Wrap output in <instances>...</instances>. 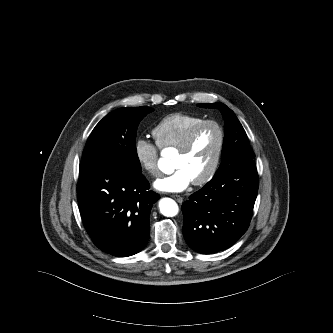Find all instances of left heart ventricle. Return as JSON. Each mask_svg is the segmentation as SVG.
I'll use <instances>...</instances> for the list:
<instances>
[{
    "mask_svg": "<svg viewBox=\"0 0 333 333\" xmlns=\"http://www.w3.org/2000/svg\"><path fill=\"white\" fill-rule=\"evenodd\" d=\"M218 132L214 126H206L195 138L192 149L187 154L177 152L175 168H183L192 181L203 176L211 166L218 145Z\"/></svg>",
    "mask_w": 333,
    "mask_h": 333,
    "instance_id": "obj_1",
    "label": "left heart ventricle"
}]
</instances>
